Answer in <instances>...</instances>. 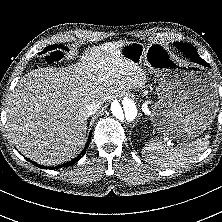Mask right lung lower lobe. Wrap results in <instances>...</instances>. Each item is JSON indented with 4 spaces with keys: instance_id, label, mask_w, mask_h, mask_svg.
<instances>
[{
    "instance_id": "98d812e1",
    "label": "right lung lower lobe",
    "mask_w": 222,
    "mask_h": 222,
    "mask_svg": "<svg viewBox=\"0 0 222 222\" xmlns=\"http://www.w3.org/2000/svg\"><path fill=\"white\" fill-rule=\"evenodd\" d=\"M90 139H91V133H90V135H89V137H88V141H87V143H86L83 151L81 152V154H80L78 157H76L75 159H73V160H71V161H69V162L61 165V167L71 166V165L75 164L78 160H80V159L83 157V155L85 154L86 150H87V147H88V145H89ZM29 161H30V160H29ZM30 162H31L32 164H34V165H38V164L35 163L34 161H30ZM38 166H40V165H38ZM41 168H43V166H41ZM56 168H57V167H56Z\"/></svg>"
}]
</instances>
